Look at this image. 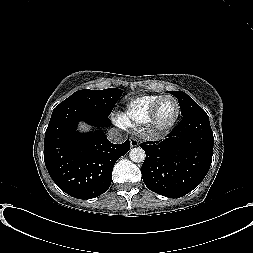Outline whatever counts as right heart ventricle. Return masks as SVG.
<instances>
[{"instance_id":"right-heart-ventricle-1","label":"right heart ventricle","mask_w":253,"mask_h":253,"mask_svg":"<svg viewBox=\"0 0 253 253\" xmlns=\"http://www.w3.org/2000/svg\"><path fill=\"white\" fill-rule=\"evenodd\" d=\"M161 95H142L131 100L121 112L117 121L125 127H137L143 124L154 103Z\"/></svg>"}]
</instances>
